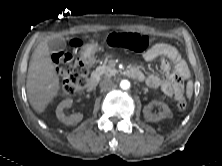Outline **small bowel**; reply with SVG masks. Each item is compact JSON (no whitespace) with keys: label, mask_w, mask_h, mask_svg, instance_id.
<instances>
[{"label":"small bowel","mask_w":222,"mask_h":166,"mask_svg":"<svg viewBox=\"0 0 222 166\" xmlns=\"http://www.w3.org/2000/svg\"><path fill=\"white\" fill-rule=\"evenodd\" d=\"M146 61L159 59L165 78L149 74L145 81L150 88H159L169 97L176 100L183 97L184 81L189 77V69L177 49L171 45L160 43L152 46L143 54ZM141 72L139 69H136ZM142 73V72H141ZM144 79V74L142 73Z\"/></svg>","instance_id":"obj_1"}]
</instances>
